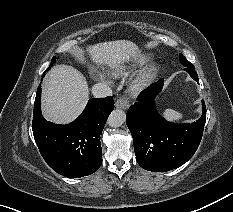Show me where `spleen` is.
Masks as SVG:
<instances>
[{"label": "spleen", "instance_id": "spleen-1", "mask_svg": "<svg viewBox=\"0 0 233 212\" xmlns=\"http://www.w3.org/2000/svg\"><path fill=\"white\" fill-rule=\"evenodd\" d=\"M164 118H166L168 121L176 122L183 118V115L173 109H165L163 112Z\"/></svg>", "mask_w": 233, "mask_h": 212}]
</instances>
